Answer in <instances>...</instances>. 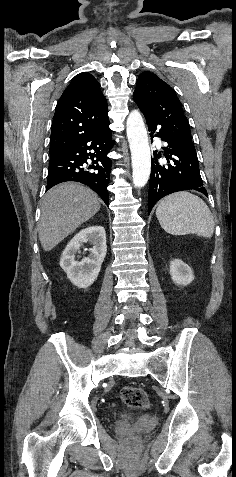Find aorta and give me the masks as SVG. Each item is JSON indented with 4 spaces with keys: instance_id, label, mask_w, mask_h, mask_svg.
Instances as JSON below:
<instances>
[{
    "instance_id": "762f6f07",
    "label": "aorta",
    "mask_w": 236,
    "mask_h": 477,
    "mask_svg": "<svg viewBox=\"0 0 236 477\" xmlns=\"http://www.w3.org/2000/svg\"><path fill=\"white\" fill-rule=\"evenodd\" d=\"M127 138L131 151L133 184L145 186L151 171V152L147 130L139 111L133 110L126 121Z\"/></svg>"
}]
</instances>
